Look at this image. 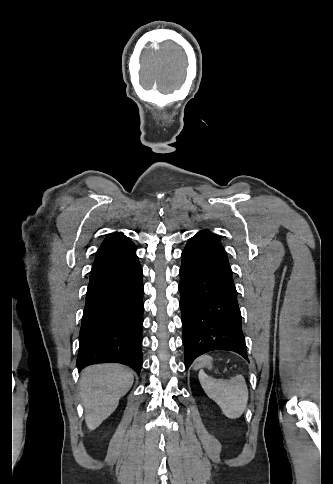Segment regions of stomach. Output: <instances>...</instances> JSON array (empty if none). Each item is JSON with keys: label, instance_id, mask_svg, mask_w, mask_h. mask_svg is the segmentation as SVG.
<instances>
[{"label": "stomach", "instance_id": "stomach-1", "mask_svg": "<svg viewBox=\"0 0 333 484\" xmlns=\"http://www.w3.org/2000/svg\"><path fill=\"white\" fill-rule=\"evenodd\" d=\"M200 367H207L208 369H211L212 359H210L209 356H203L199 358L195 363V368H200Z\"/></svg>", "mask_w": 333, "mask_h": 484}]
</instances>
